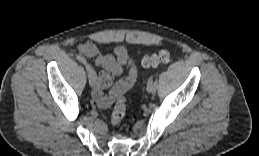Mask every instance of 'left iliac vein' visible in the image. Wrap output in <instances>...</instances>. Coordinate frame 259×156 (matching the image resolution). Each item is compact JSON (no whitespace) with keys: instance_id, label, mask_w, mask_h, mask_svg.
I'll return each mask as SVG.
<instances>
[{"instance_id":"1","label":"left iliac vein","mask_w":259,"mask_h":156,"mask_svg":"<svg viewBox=\"0 0 259 156\" xmlns=\"http://www.w3.org/2000/svg\"><path fill=\"white\" fill-rule=\"evenodd\" d=\"M154 84H155V82H153V83L150 84V85H147V91H148L149 93H154V92H153V89H152V86H154Z\"/></svg>"}]
</instances>
